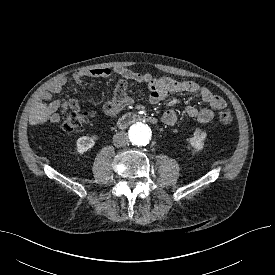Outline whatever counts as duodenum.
<instances>
[{
    "mask_svg": "<svg viewBox=\"0 0 275 275\" xmlns=\"http://www.w3.org/2000/svg\"><path fill=\"white\" fill-rule=\"evenodd\" d=\"M137 121L149 122L152 124H155L157 122L156 118L149 115L139 113H126L118 119V126L120 128H125Z\"/></svg>",
    "mask_w": 275,
    "mask_h": 275,
    "instance_id": "obj_1",
    "label": "duodenum"
}]
</instances>
